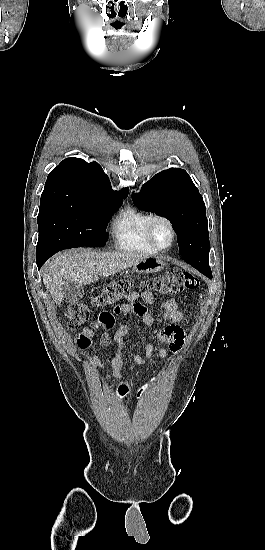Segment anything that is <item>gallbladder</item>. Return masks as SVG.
<instances>
[{
    "instance_id": "obj_1",
    "label": "gallbladder",
    "mask_w": 265,
    "mask_h": 550,
    "mask_svg": "<svg viewBox=\"0 0 265 550\" xmlns=\"http://www.w3.org/2000/svg\"><path fill=\"white\" fill-rule=\"evenodd\" d=\"M62 295L67 303L78 302L84 296V287L74 282L67 283L63 286Z\"/></svg>"
}]
</instances>
